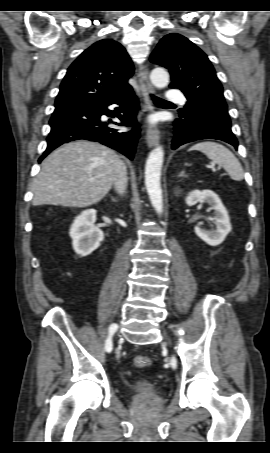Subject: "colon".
<instances>
[{
    "mask_svg": "<svg viewBox=\"0 0 270 453\" xmlns=\"http://www.w3.org/2000/svg\"><path fill=\"white\" fill-rule=\"evenodd\" d=\"M134 364L137 368H146V367L150 366L151 359L147 355H137L134 358Z\"/></svg>",
    "mask_w": 270,
    "mask_h": 453,
    "instance_id": "obj_1",
    "label": "colon"
}]
</instances>
